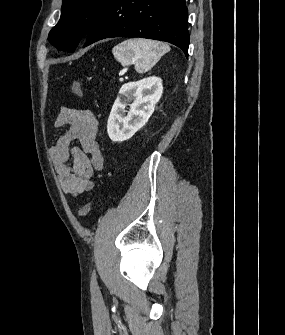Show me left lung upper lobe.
<instances>
[{"label": "left lung upper lobe", "mask_w": 285, "mask_h": 335, "mask_svg": "<svg viewBox=\"0 0 285 335\" xmlns=\"http://www.w3.org/2000/svg\"><path fill=\"white\" fill-rule=\"evenodd\" d=\"M110 1L63 0L60 20L50 31L49 41L60 50L74 51Z\"/></svg>", "instance_id": "obj_1"}]
</instances>
